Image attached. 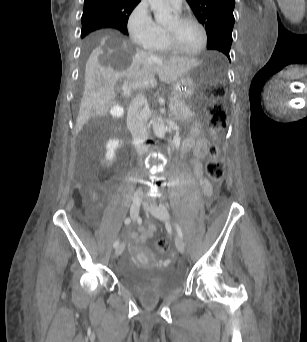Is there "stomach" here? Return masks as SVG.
<instances>
[{"label": "stomach", "mask_w": 307, "mask_h": 342, "mask_svg": "<svg viewBox=\"0 0 307 342\" xmlns=\"http://www.w3.org/2000/svg\"><path fill=\"white\" fill-rule=\"evenodd\" d=\"M200 75L198 66L193 67L173 83V94L183 101H191L196 94L197 80Z\"/></svg>", "instance_id": "obj_1"}]
</instances>
